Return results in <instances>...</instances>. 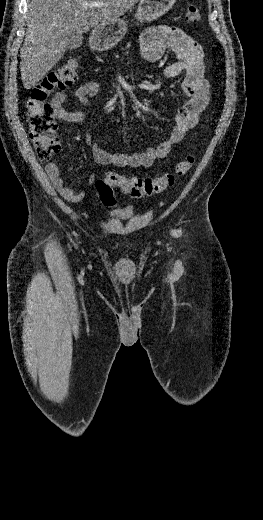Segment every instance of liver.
I'll return each mask as SVG.
<instances>
[{"label": "liver", "mask_w": 263, "mask_h": 520, "mask_svg": "<svg viewBox=\"0 0 263 520\" xmlns=\"http://www.w3.org/2000/svg\"><path fill=\"white\" fill-rule=\"evenodd\" d=\"M139 0H29L27 31L20 50L21 79L34 87L64 56L71 31L86 33L117 20ZM101 2L100 7L86 4Z\"/></svg>", "instance_id": "liver-1"}]
</instances>
